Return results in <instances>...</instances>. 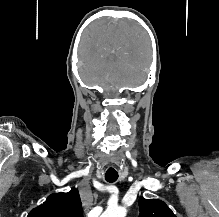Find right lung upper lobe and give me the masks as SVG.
Wrapping results in <instances>:
<instances>
[{"instance_id": "1", "label": "right lung upper lobe", "mask_w": 219, "mask_h": 217, "mask_svg": "<svg viewBox=\"0 0 219 217\" xmlns=\"http://www.w3.org/2000/svg\"><path fill=\"white\" fill-rule=\"evenodd\" d=\"M27 217H83L79 192L73 188L68 193L52 194Z\"/></svg>"}]
</instances>
